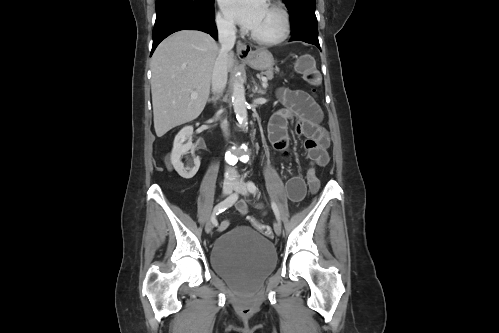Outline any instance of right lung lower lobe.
I'll use <instances>...</instances> for the list:
<instances>
[{"mask_svg":"<svg viewBox=\"0 0 499 333\" xmlns=\"http://www.w3.org/2000/svg\"><path fill=\"white\" fill-rule=\"evenodd\" d=\"M214 18V12L202 15L183 11L171 12L156 17L151 55L163 39L176 31L184 29L200 30L209 33L217 40V28Z\"/></svg>","mask_w":499,"mask_h":333,"instance_id":"right-lung-lower-lobe-1","label":"right lung lower lobe"}]
</instances>
